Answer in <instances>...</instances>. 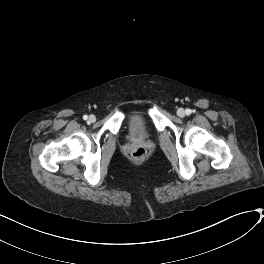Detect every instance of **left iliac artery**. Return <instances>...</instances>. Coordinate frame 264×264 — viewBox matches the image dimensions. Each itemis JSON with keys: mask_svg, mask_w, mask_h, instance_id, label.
Returning <instances> with one entry per match:
<instances>
[{"mask_svg": "<svg viewBox=\"0 0 264 264\" xmlns=\"http://www.w3.org/2000/svg\"><path fill=\"white\" fill-rule=\"evenodd\" d=\"M191 112H192V111H191L190 109H186V111H185L186 115H190Z\"/></svg>", "mask_w": 264, "mask_h": 264, "instance_id": "1", "label": "left iliac artery"}]
</instances>
